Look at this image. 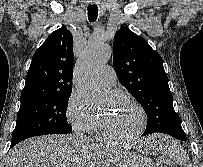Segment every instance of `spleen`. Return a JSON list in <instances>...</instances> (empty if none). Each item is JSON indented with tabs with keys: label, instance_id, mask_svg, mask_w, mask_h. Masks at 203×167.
<instances>
[{
	"label": "spleen",
	"instance_id": "3e777b00",
	"mask_svg": "<svg viewBox=\"0 0 203 167\" xmlns=\"http://www.w3.org/2000/svg\"><path fill=\"white\" fill-rule=\"evenodd\" d=\"M149 146L148 150L151 153H161L165 156H169L181 166L192 167L188 155L181 146L166 136H155L152 138Z\"/></svg>",
	"mask_w": 203,
	"mask_h": 167
}]
</instances>
